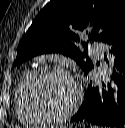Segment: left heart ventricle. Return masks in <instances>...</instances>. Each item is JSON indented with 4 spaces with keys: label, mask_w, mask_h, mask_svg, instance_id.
Segmentation results:
<instances>
[{
    "label": "left heart ventricle",
    "mask_w": 125,
    "mask_h": 128,
    "mask_svg": "<svg viewBox=\"0 0 125 128\" xmlns=\"http://www.w3.org/2000/svg\"><path fill=\"white\" fill-rule=\"evenodd\" d=\"M32 96L46 112L60 113L72 105L76 90L70 78L61 74H44L33 84Z\"/></svg>",
    "instance_id": "left-heart-ventricle-1"
}]
</instances>
